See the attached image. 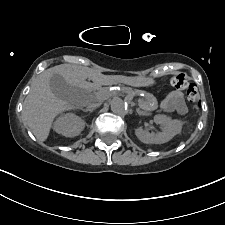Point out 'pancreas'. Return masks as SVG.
I'll return each mask as SVG.
<instances>
[{"instance_id":"pancreas-1","label":"pancreas","mask_w":225,"mask_h":225,"mask_svg":"<svg viewBox=\"0 0 225 225\" xmlns=\"http://www.w3.org/2000/svg\"><path fill=\"white\" fill-rule=\"evenodd\" d=\"M127 93H132V94H140L141 91L139 90H132L130 88L126 89ZM100 94H106L107 90L106 89H100L99 90ZM140 102V108L143 110L142 112L145 115H149L151 111H154L158 108V103L156 98L149 93H146L145 95V100H139Z\"/></svg>"}]
</instances>
